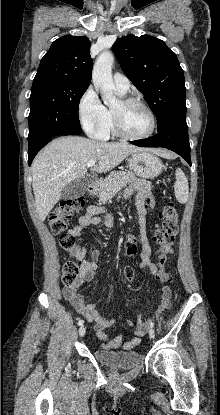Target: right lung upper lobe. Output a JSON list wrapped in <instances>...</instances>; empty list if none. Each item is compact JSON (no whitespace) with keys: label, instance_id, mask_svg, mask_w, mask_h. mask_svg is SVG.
<instances>
[{"label":"right lung upper lobe","instance_id":"right-lung-upper-lobe-1","mask_svg":"<svg viewBox=\"0 0 220 415\" xmlns=\"http://www.w3.org/2000/svg\"><path fill=\"white\" fill-rule=\"evenodd\" d=\"M92 68L89 39L66 35L52 43L40 62L33 83L59 81L89 86Z\"/></svg>","mask_w":220,"mask_h":415}]
</instances>
